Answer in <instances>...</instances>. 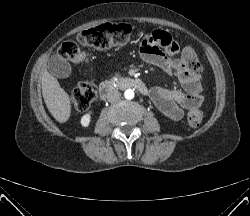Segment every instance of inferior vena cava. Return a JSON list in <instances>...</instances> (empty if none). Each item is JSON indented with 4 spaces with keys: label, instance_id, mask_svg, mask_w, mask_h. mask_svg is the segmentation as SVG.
I'll return each mask as SVG.
<instances>
[{
    "label": "inferior vena cava",
    "instance_id": "602c4592",
    "mask_svg": "<svg viewBox=\"0 0 250 216\" xmlns=\"http://www.w3.org/2000/svg\"><path fill=\"white\" fill-rule=\"evenodd\" d=\"M121 93L118 90H111L107 93L108 102H116L120 99Z\"/></svg>",
    "mask_w": 250,
    "mask_h": 216
}]
</instances>
